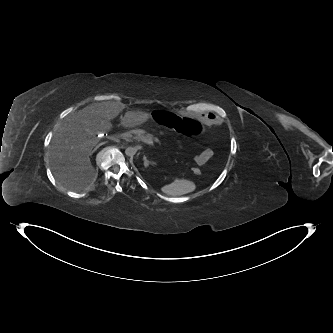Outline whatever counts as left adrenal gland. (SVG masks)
<instances>
[{
  "mask_svg": "<svg viewBox=\"0 0 333 333\" xmlns=\"http://www.w3.org/2000/svg\"><path fill=\"white\" fill-rule=\"evenodd\" d=\"M143 160H144V166H145V168H148L149 165H155L154 162L147 160V158H146L145 155H144V157H143Z\"/></svg>",
  "mask_w": 333,
  "mask_h": 333,
  "instance_id": "left-adrenal-gland-1",
  "label": "left adrenal gland"
}]
</instances>
